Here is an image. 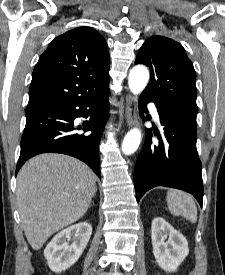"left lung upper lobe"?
I'll return each mask as SVG.
<instances>
[{"mask_svg": "<svg viewBox=\"0 0 225 275\" xmlns=\"http://www.w3.org/2000/svg\"><path fill=\"white\" fill-rule=\"evenodd\" d=\"M147 65L151 79L142 94L157 103L196 118V73L184 48L163 36H152L141 46L135 64Z\"/></svg>", "mask_w": 225, "mask_h": 275, "instance_id": "5c2ea615", "label": "left lung upper lobe"}]
</instances>
